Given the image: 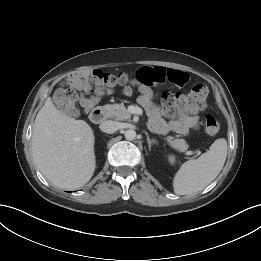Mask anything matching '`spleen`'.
<instances>
[{"instance_id": "spleen-1", "label": "spleen", "mask_w": 261, "mask_h": 261, "mask_svg": "<svg viewBox=\"0 0 261 261\" xmlns=\"http://www.w3.org/2000/svg\"><path fill=\"white\" fill-rule=\"evenodd\" d=\"M227 149L226 139L219 138L199 158L183 163L173 179L175 194H194L206 188L221 172Z\"/></svg>"}]
</instances>
